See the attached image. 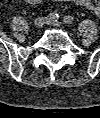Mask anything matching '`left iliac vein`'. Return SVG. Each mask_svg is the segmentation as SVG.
<instances>
[{
  "mask_svg": "<svg viewBox=\"0 0 100 118\" xmlns=\"http://www.w3.org/2000/svg\"><path fill=\"white\" fill-rule=\"evenodd\" d=\"M47 24L48 25H51V26H54V27H60L61 26V23L60 22L54 21V20H51V19H48L47 20Z\"/></svg>",
  "mask_w": 100,
  "mask_h": 118,
  "instance_id": "left-iliac-vein-1",
  "label": "left iliac vein"
}]
</instances>
